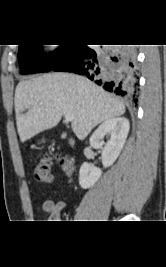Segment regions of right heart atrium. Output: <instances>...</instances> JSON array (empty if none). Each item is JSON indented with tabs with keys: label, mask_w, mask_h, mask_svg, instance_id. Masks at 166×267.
I'll return each mask as SVG.
<instances>
[{
	"label": "right heart atrium",
	"mask_w": 166,
	"mask_h": 267,
	"mask_svg": "<svg viewBox=\"0 0 166 267\" xmlns=\"http://www.w3.org/2000/svg\"><path fill=\"white\" fill-rule=\"evenodd\" d=\"M48 49H47V53L49 54V55H53V54H55L56 52H57V46H54V45H49L48 47H47Z\"/></svg>",
	"instance_id": "obj_1"
}]
</instances>
